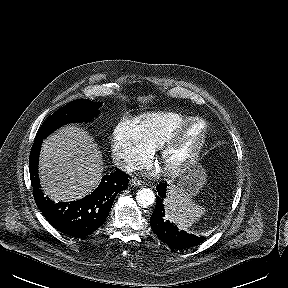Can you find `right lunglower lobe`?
Masks as SVG:
<instances>
[{"instance_id": "right-lung-lower-lobe-1", "label": "right lung lower lobe", "mask_w": 288, "mask_h": 288, "mask_svg": "<svg viewBox=\"0 0 288 288\" xmlns=\"http://www.w3.org/2000/svg\"><path fill=\"white\" fill-rule=\"evenodd\" d=\"M42 140H35L29 158L33 196L47 221L58 231L82 238L97 230L106 220L117 194L128 186V175L117 170L103 176L97 189L75 202L54 203L44 197L38 178V157Z\"/></svg>"}]
</instances>
